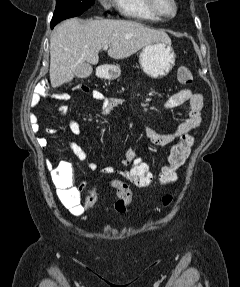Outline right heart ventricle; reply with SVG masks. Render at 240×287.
I'll use <instances>...</instances> for the list:
<instances>
[{"label":"right heart ventricle","mask_w":240,"mask_h":287,"mask_svg":"<svg viewBox=\"0 0 240 287\" xmlns=\"http://www.w3.org/2000/svg\"><path fill=\"white\" fill-rule=\"evenodd\" d=\"M118 12L136 20L158 22L160 18L154 15L147 4V0H113Z\"/></svg>","instance_id":"e07e8e85"}]
</instances>
